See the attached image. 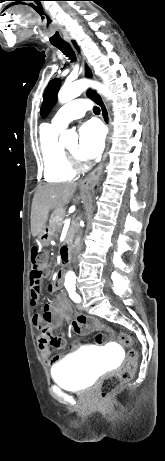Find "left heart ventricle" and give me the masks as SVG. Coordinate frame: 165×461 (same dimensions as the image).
Masks as SVG:
<instances>
[{"instance_id": "left-heart-ventricle-1", "label": "left heart ventricle", "mask_w": 165, "mask_h": 461, "mask_svg": "<svg viewBox=\"0 0 165 461\" xmlns=\"http://www.w3.org/2000/svg\"><path fill=\"white\" fill-rule=\"evenodd\" d=\"M67 149L74 154H78V145L76 142L70 145Z\"/></svg>"}]
</instances>
